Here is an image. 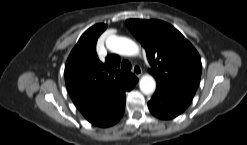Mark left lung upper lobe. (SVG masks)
I'll list each match as a JSON object with an SVG mask.
<instances>
[{"label": "left lung upper lobe", "instance_id": "obj_1", "mask_svg": "<svg viewBox=\"0 0 247 145\" xmlns=\"http://www.w3.org/2000/svg\"><path fill=\"white\" fill-rule=\"evenodd\" d=\"M126 26L145 48L157 84L193 97L201 78V58L191 43L163 21L130 19Z\"/></svg>", "mask_w": 247, "mask_h": 145}]
</instances>
